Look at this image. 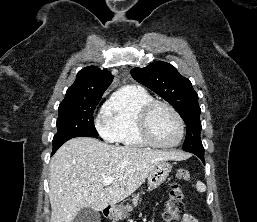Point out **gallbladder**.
Returning a JSON list of instances; mask_svg holds the SVG:
<instances>
[{"label": "gallbladder", "mask_w": 257, "mask_h": 222, "mask_svg": "<svg viewBox=\"0 0 257 222\" xmlns=\"http://www.w3.org/2000/svg\"><path fill=\"white\" fill-rule=\"evenodd\" d=\"M73 222H101V219L97 211L90 208H83L77 213Z\"/></svg>", "instance_id": "bac80fb5"}]
</instances>
